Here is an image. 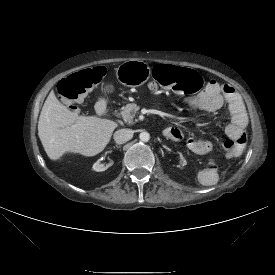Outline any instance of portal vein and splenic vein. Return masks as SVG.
<instances>
[{"mask_svg":"<svg viewBox=\"0 0 275 275\" xmlns=\"http://www.w3.org/2000/svg\"><path fill=\"white\" fill-rule=\"evenodd\" d=\"M141 112H142L143 114H145V113H147V112H148V110H146V109H142V110H141Z\"/></svg>","mask_w":275,"mask_h":275,"instance_id":"18ae733b","label":"portal vein and splenic vein"}]
</instances>
